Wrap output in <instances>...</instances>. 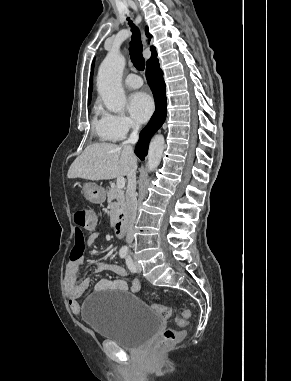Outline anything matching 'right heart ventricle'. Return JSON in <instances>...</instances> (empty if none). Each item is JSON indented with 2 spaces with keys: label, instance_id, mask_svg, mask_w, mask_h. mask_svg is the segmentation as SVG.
Segmentation results:
<instances>
[{
  "label": "right heart ventricle",
  "instance_id": "e07e8e85",
  "mask_svg": "<svg viewBox=\"0 0 291 381\" xmlns=\"http://www.w3.org/2000/svg\"><path fill=\"white\" fill-rule=\"evenodd\" d=\"M93 131L102 140L116 141V139L111 135L104 123L99 106H96L94 108Z\"/></svg>",
  "mask_w": 291,
  "mask_h": 381
}]
</instances>
